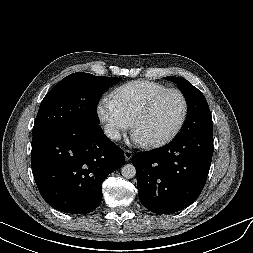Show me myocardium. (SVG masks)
<instances>
[{
	"label": "myocardium",
	"instance_id": "myocardium-1",
	"mask_svg": "<svg viewBox=\"0 0 253 253\" xmlns=\"http://www.w3.org/2000/svg\"><path fill=\"white\" fill-rule=\"evenodd\" d=\"M170 93H176L178 94L183 102V112H182V116L180 118L179 123L177 124V126L175 127V129L166 137L160 139V140H156V141H150L147 142L146 146L151 147V148H160L163 147L167 144H169L170 142H172L181 132V130L184 127V124L186 122L187 119V115H188V101L185 97V95L183 94V92L179 89L176 88H167L157 94H155L151 99L148 100V102L144 105V107L142 108V110L139 112V114L136 116V118L134 119L133 123H132V129L133 132H135L138 127L140 126V124L147 118V116L150 114V112L152 111V109L154 108V106L157 104V102L164 97L167 94Z\"/></svg>",
	"mask_w": 253,
	"mask_h": 253
}]
</instances>
